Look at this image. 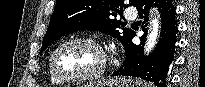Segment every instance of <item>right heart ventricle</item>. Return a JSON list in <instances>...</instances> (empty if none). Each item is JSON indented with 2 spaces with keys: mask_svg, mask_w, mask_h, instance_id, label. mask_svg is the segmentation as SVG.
Masks as SVG:
<instances>
[{
  "mask_svg": "<svg viewBox=\"0 0 205 87\" xmlns=\"http://www.w3.org/2000/svg\"><path fill=\"white\" fill-rule=\"evenodd\" d=\"M49 75H50V80L53 84H61L62 81H60L59 79H57L51 72L50 70V65H49Z\"/></svg>",
  "mask_w": 205,
  "mask_h": 87,
  "instance_id": "1",
  "label": "right heart ventricle"
}]
</instances>
